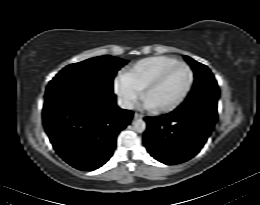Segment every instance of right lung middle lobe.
Returning a JSON list of instances; mask_svg holds the SVG:
<instances>
[{"label":"right lung middle lobe","mask_w":260,"mask_h":205,"mask_svg":"<svg viewBox=\"0 0 260 205\" xmlns=\"http://www.w3.org/2000/svg\"><path fill=\"white\" fill-rule=\"evenodd\" d=\"M126 63L127 61L123 59L109 55L94 57L66 66L50 82L63 80L87 82L112 90L117 70Z\"/></svg>","instance_id":"1"}]
</instances>
